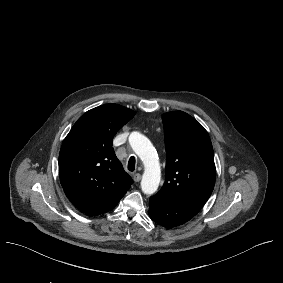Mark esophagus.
<instances>
[{
    "label": "esophagus",
    "mask_w": 283,
    "mask_h": 283,
    "mask_svg": "<svg viewBox=\"0 0 283 283\" xmlns=\"http://www.w3.org/2000/svg\"><path fill=\"white\" fill-rule=\"evenodd\" d=\"M141 178H142V175L140 173H136V174L133 175V180L135 182H139L141 180Z\"/></svg>",
    "instance_id": "34e87169"
}]
</instances>
